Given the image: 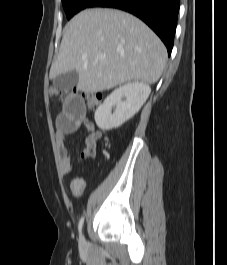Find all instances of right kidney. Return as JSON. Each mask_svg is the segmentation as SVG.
<instances>
[{"label": "right kidney", "instance_id": "right-kidney-1", "mask_svg": "<svg viewBox=\"0 0 227 265\" xmlns=\"http://www.w3.org/2000/svg\"><path fill=\"white\" fill-rule=\"evenodd\" d=\"M150 92V86L141 82L127 83L115 89L95 111L97 126L102 130L121 126L139 111Z\"/></svg>", "mask_w": 227, "mask_h": 265}]
</instances>
